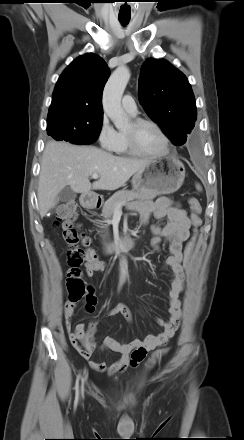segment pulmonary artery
<instances>
[{
    "label": "pulmonary artery",
    "mask_w": 244,
    "mask_h": 440,
    "mask_svg": "<svg viewBox=\"0 0 244 440\" xmlns=\"http://www.w3.org/2000/svg\"><path fill=\"white\" fill-rule=\"evenodd\" d=\"M122 107L127 113H129L131 115H135L137 113V106H136L135 100L129 94H127L123 97Z\"/></svg>",
    "instance_id": "1"
}]
</instances>
